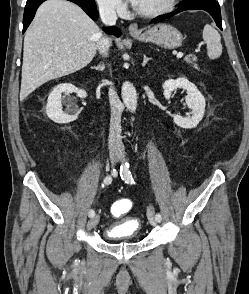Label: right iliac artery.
Masks as SVG:
<instances>
[{
	"instance_id": "82829eb1",
	"label": "right iliac artery",
	"mask_w": 249,
	"mask_h": 294,
	"mask_svg": "<svg viewBox=\"0 0 249 294\" xmlns=\"http://www.w3.org/2000/svg\"><path fill=\"white\" fill-rule=\"evenodd\" d=\"M112 175H116V170H115V169H113V171H112ZM111 182H112V177H111L110 175H108V176H106V177L104 178V183H105L106 185L111 184ZM88 215H89L90 218H92V217L95 215V211H94L93 209H91V210L88 212Z\"/></svg>"
}]
</instances>
